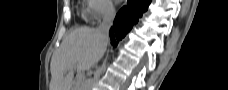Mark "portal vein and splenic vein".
Segmentation results:
<instances>
[{
	"label": "portal vein and splenic vein",
	"mask_w": 228,
	"mask_h": 90,
	"mask_svg": "<svg viewBox=\"0 0 228 90\" xmlns=\"http://www.w3.org/2000/svg\"><path fill=\"white\" fill-rule=\"evenodd\" d=\"M77 70L80 71L79 68H77ZM78 79H81L80 76H78Z\"/></svg>",
	"instance_id": "1"
}]
</instances>
